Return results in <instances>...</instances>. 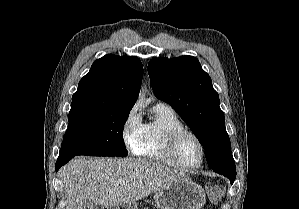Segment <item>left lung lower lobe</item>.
Listing matches in <instances>:
<instances>
[{"label": "left lung lower lobe", "instance_id": "obj_1", "mask_svg": "<svg viewBox=\"0 0 299 209\" xmlns=\"http://www.w3.org/2000/svg\"><path fill=\"white\" fill-rule=\"evenodd\" d=\"M211 169L216 173L226 176L230 180V183L233 184L236 178V166L232 154Z\"/></svg>", "mask_w": 299, "mask_h": 209}]
</instances>
